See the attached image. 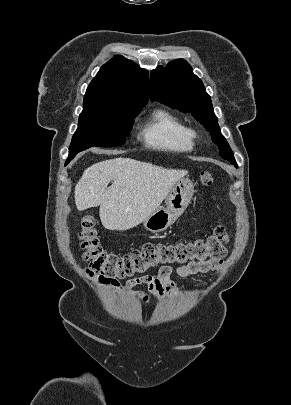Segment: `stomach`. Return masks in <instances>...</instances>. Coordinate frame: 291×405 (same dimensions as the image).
Instances as JSON below:
<instances>
[{
    "instance_id": "0dacf381",
    "label": "stomach",
    "mask_w": 291,
    "mask_h": 405,
    "mask_svg": "<svg viewBox=\"0 0 291 405\" xmlns=\"http://www.w3.org/2000/svg\"><path fill=\"white\" fill-rule=\"evenodd\" d=\"M194 194V186L190 179H180L171 188L165 206L157 208L144 221L143 226L153 232H161L171 226L187 208Z\"/></svg>"
}]
</instances>
